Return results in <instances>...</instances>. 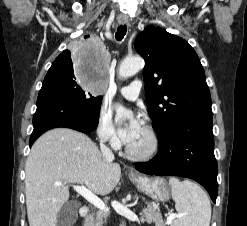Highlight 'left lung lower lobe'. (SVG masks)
<instances>
[{
  "instance_id": "1",
  "label": "left lung lower lobe",
  "mask_w": 247,
  "mask_h": 226,
  "mask_svg": "<svg viewBox=\"0 0 247 226\" xmlns=\"http://www.w3.org/2000/svg\"><path fill=\"white\" fill-rule=\"evenodd\" d=\"M212 126V112L197 113L181 121L169 136L158 138L160 148L152 162L138 163L136 169L149 175L193 179L204 186L216 202L218 167Z\"/></svg>"
}]
</instances>
